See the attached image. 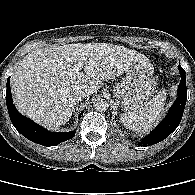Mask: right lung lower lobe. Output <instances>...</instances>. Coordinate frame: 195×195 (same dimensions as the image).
Segmentation results:
<instances>
[{
    "mask_svg": "<svg viewBox=\"0 0 195 195\" xmlns=\"http://www.w3.org/2000/svg\"><path fill=\"white\" fill-rule=\"evenodd\" d=\"M6 103L12 124L27 139L43 146H54L63 141L72 139L75 131L70 132H49L34 123L27 117L21 115L12 101L10 78L7 79Z\"/></svg>",
    "mask_w": 195,
    "mask_h": 195,
    "instance_id": "98d812e1",
    "label": "right lung lower lobe"
}]
</instances>
